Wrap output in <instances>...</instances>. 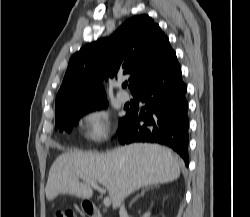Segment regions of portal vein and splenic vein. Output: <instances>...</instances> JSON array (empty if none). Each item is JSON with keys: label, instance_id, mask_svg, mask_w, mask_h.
Here are the masks:
<instances>
[{"label": "portal vein and splenic vein", "instance_id": "obj_1", "mask_svg": "<svg viewBox=\"0 0 250 217\" xmlns=\"http://www.w3.org/2000/svg\"><path fill=\"white\" fill-rule=\"evenodd\" d=\"M81 179L88 185H91L94 189L98 190L99 192H101L102 194H105L106 193V190L105 189H102L98 184L97 182L89 179V178H85V177H81ZM103 204L105 207H108L110 206L111 204V198L110 197H105L104 198V201H103Z\"/></svg>", "mask_w": 250, "mask_h": 217}]
</instances>
